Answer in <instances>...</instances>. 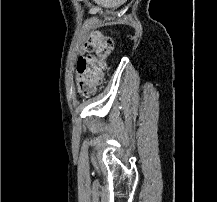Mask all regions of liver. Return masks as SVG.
I'll list each match as a JSON object with an SVG mask.
<instances>
[{
  "mask_svg": "<svg viewBox=\"0 0 217 202\" xmlns=\"http://www.w3.org/2000/svg\"><path fill=\"white\" fill-rule=\"evenodd\" d=\"M95 4H99V6H102V8H119V6H122L124 2H127V0H93Z\"/></svg>",
  "mask_w": 217,
  "mask_h": 202,
  "instance_id": "1",
  "label": "liver"
}]
</instances>
